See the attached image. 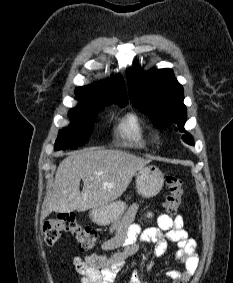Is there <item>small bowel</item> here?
Wrapping results in <instances>:
<instances>
[{
    "label": "small bowel",
    "instance_id": "c3829d8e",
    "mask_svg": "<svg viewBox=\"0 0 233 283\" xmlns=\"http://www.w3.org/2000/svg\"><path fill=\"white\" fill-rule=\"evenodd\" d=\"M138 211V204H132L121 220L112 227L114 235L101 244L104 251H112L122 247V251L111 256L86 254L84 257H75L73 264L81 276V283H114L116 276L125 260L136 254L142 245L153 244V255L162 257L169 243H175V261L183 265V270H168L166 277L173 283H187L197 270L198 255L195 252L196 241L188 236L184 230V221L181 215L170 216L159 214L156 217L157 227L142 229L134 222ZM147 218L153 213L148 212ZM153 261H149L146 270H150ZM129 283H144L138 270L132 274Z\"/></svg>",
    "mask_w": 233,
    "mask_h": 283
}]
</instances>
